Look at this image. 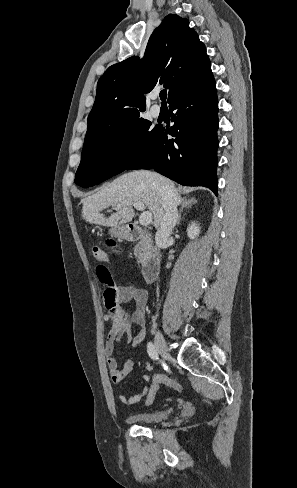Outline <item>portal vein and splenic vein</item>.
Wrapping results in <instances>:
<instances>
[{
	"mask_svg": "<svg viewBox=\"0 0 297 488\" xmlns=\"http://www.w3.org/2000/svg\"><path fill=\"white\" fill-rule=\"evenodd\" d=\"M133 206L136 210L144 211L139 217V222L142 226H148L152 222V213L145 211V206L142 202H135ZM116 208H120V205H117Z\"/></svg>",
	"mask_w": 297,
	"mask_h": 488,
	"instance_id": "18ae733b",
	"label": "portal vein and splenic vein"
}]
</instances>
